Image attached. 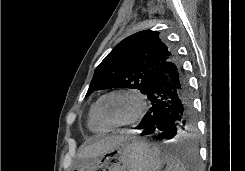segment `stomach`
I'll return each instance as SVG.
<instances>
[{
  "label": "stomach",
  "mask_w": 245,
  "mask_h": 171,
  "mask_svg": "<svg viewBox=\"0 0 245 171\" xmlns=\"http://www.w3.org/2000/svg\"><path fill=\"white\" fill-rule=\"evenodd\" d=\"M161 151L148 142L128 136L112 150L83 159L73 171H161Z\"/></svg>",
  "instance_id": "obj_1"
}]
</instances>
